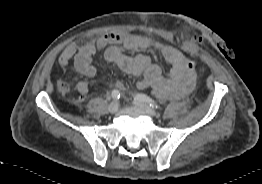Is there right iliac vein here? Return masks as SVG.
Returning <instances> with one entry per match:
<instances>
[{
	"label": "right iliac vein",
	"instance_id": "1",
	"mask_svg": "<svg viewBox=\"0 0 262 184\" xmlns=\"http://www.w3.org/2000/svg\"><path fill=\"white\" fill-rule=\"evenodd\" d=\"M119 108V104L116 101H113L112 103H110L108 110L110 113H116L118 111Z\"/></svg>",
	"mask_w": 262,
	"mask_h": 184
}]
</instances>
